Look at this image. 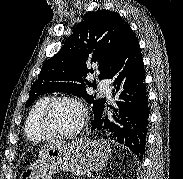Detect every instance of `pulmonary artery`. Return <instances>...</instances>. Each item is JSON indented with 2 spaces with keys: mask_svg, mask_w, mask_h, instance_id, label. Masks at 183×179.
<instances>
[{
  "mask_svg": "<svg viewBox=\"0 0 183 179\" xmlns=\"http://www.w3.org/2000/svg\"><path fill=\"white\" fill-rule=\"evenodd\" d=\"M99 88L101 91L105 92L108 98L112 97V91L108 80H102L99 82Z\"/></svg>",
  "mask_w": 183,
  "mask_h": 179,
  "instance_id": "1",
  "label": "pulmonary artery"
}]
</instances>
